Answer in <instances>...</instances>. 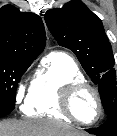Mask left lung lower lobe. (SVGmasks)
I'll return each mask as SVG.
<instances>
[{"label":"left lung lower lobe","mask_w":117,"mask_h":136,"mask_svg":"<svg viewBox=\"0 0 117 136\" xmlns=\"http://www.w3.org/2000/svg\"><path fill=\"white\" fill-rule=\"evenodd\" d=\"M110 116L111 117L100 127L87 129L86 131L97 136H117V113Z\"/></svg>","instance_id":"1"}]
</instances>
